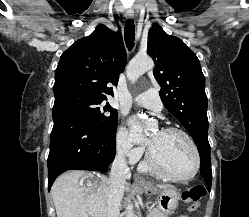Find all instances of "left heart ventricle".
<instances>
[{"label": "left heart ventricle", "mask_w": 249, "mask_h": 217, "mask_svg": "<svg viewBox=\"0 0 249 217\" xmlns=\"http://www.w3.org/2000/svg\"><path fill=\"white\" fill-rule=\"evenodd\" d=\"M151 139L154 157L166 171L176 176H184L193 170L194 153L182 135L155 131Z\"/></svg>", "instance_id": "left-heart-ventricle-1"}]
</instances>
